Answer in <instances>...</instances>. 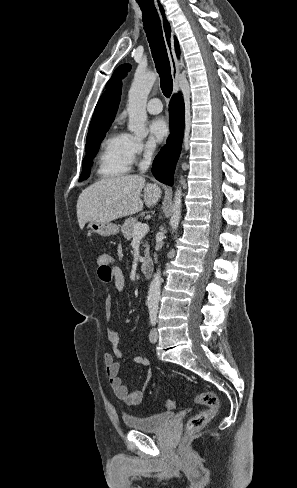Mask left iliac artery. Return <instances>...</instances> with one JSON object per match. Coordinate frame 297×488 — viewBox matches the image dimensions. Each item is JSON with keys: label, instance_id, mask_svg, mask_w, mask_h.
<instances>
[{"label": "left iliac artery", "instance_id": "obj_1", "mask_svg": "<svg viewBox=\"0 0 297 488\" xmlns=\"http://www.w3.org/2000/svg\"><path fill=\"white\" fill-rule=\"evenodd\" d=\"M157 312H158V309L156 307H150L149 313H150V322L152 325H155V323H156Z\"/></svg>", "mask_w": 297, "mask_h": 488}]
</instances>
